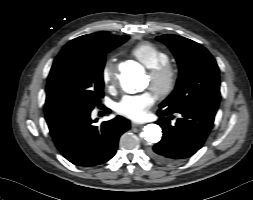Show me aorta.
I'll return each instance as SVG.
<instances>
[{"label": "aorta", "mask_w": 253, "mask_h": 200, "mask_svg": "<svg viewBox=\"0 0 253 200\" xmlns=\"http://www.w3.org/2000/svg\"><path fill=\"white\" fill-rule=\"evenodd\" d=\"M121 86L127 93L143 91L146 86L144 75L137 69H127L120 77ZM160 126L148 124L144 126L141 136L149 143H157L162 137Z\"/></svg>", "instance_id": "1"}]
</instances>
